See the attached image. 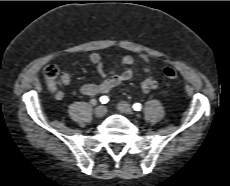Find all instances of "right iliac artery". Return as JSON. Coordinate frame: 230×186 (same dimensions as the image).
I'll return each mask as SVG.
<instances>
[{"instance_id": "right-iliac-artery-1", "label": "right iliac artery", "mask_w": 230, "mask_h": 186, "mask_svg": "<svg viewBox=\"0 0 230 186\" xmlns=\"http://www.w3.org/2000/svg\"><path fill=\"white\" fill-rule=\"evenodd\" d=\"M108 101H109L108 96H102V97H100V102L102 104H106Z\"/></svg>"}]
</instances>
